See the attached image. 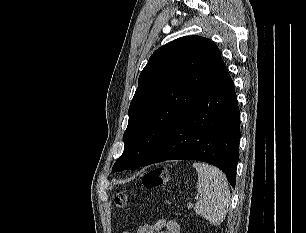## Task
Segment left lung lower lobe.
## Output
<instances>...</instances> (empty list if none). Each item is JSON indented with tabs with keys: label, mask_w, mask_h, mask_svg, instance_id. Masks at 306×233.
I'll return each instance as SVG.
<instances>
[{
	"label": "left lung lower lobe",
	"mask_w": 306,
	"mask_h": 233,
	"mask_svg": "<svg viewBox=\"0 0 306 233\" xmlns=\"http://www.w3.org/2000/svg\"><path fill=\"white\" fill-rule=\"evenodd\" d=\"M239 108L226 67L142 165L193 159L220 168L235 187L239 158Z\"/></svg>",
	"instance_id": "obj_1"
}]
</instances>
